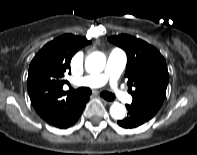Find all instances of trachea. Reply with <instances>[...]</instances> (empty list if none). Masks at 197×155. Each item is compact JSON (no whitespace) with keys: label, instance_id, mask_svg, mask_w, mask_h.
<instances>
[{"label":"trachea","instance_id":"obj_1","mask_svg":"<svg viewBox=\"0 0 197 155\" xmlns=\"http://www.w3.org/2000/svg\"><path fill=\"white\" fill-rule=\"evenodd\" d=\"M72 91H75L76 93L80 94V95H91L92 91L90 88H86V87H81L78 88L77 90H74L73 88H71ZM100 96L103 97L105 100L108 101H113L115 99V95L110 93V92H106L103 91L100 93Z\"/></svg>","mask_w":197,"mask_h":155}]
</instances>
